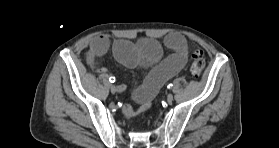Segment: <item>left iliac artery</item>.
I'll list each match as a JSON object with an SVG mask.
<instances>
[{"label": "left iliac artery", "mask_w": 279, "mask_h": 148, "mask_svg": "<svg viewBox=\"0 0 279 148\" xmlns=\"http://www.w3.org/2000/svg\"><path fill=\"white\" fill-rule=\"evenodd\" d=\"M167 87H168L169 89H172V88H173V84L170 83Z\"/></svg>", "instance_id": "1"}]
</instances>
